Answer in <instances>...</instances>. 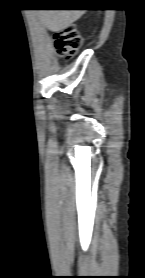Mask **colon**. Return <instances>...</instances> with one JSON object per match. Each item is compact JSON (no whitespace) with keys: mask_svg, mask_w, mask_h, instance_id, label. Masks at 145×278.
Returning <instances> with one entry per match:
<instances>
[{"mask_svg":"<svg viewBox=\"0 0 145 278\" xmlns=\"http://www.w3.org/2000/svg\"><path fill=\"white\" fill-rule=\"evenodd\" d=\"M54 42L58 54L65 61H70L80 47L81 38L76 28L69 25L54 34Z\"/></svg>","mask_w":145,"mask_h":278,"instance_id":"obj_1","label":"colon"}]
</instances>
